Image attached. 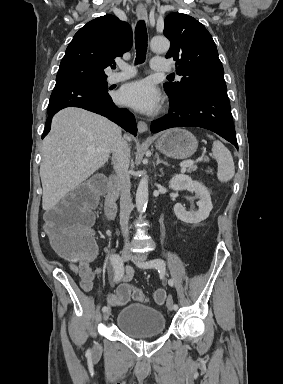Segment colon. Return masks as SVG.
Wrapping results in <instances>:
<instances>
[{"instance_id":"1","label":"colon","mask_w":283,"mask_h":384,"mask_svg":"<svg viewBox=\"0 0 283 384\" xmlns=\"http://www.w3.org/2000/svg\"><path fill=\"white\" fill-rule=\"evenodd\" d=\"M103 186L100 178L78 186L46 215L45 231L53 248L70 261H87L96 255V246L92 237L93 209ZM130 297L146 301V295L140 289L122 285L116 293L108 296L112 306L123 305ZM156 303L162 304L166 299L163 290L153 294Z\"/></svg>"}]
</instances>
